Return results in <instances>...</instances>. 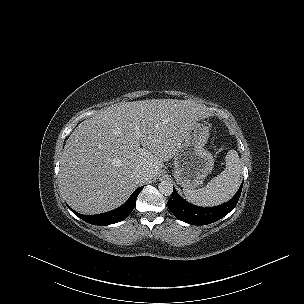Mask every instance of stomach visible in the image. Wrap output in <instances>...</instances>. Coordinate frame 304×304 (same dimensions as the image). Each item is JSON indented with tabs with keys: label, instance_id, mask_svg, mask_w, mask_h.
<instances>
[{
	"label": "stomach",
	"instance_id": "1",
	"mask_svg": "<svg viewBox=\"0 0 304 304\" xmlns=\"http://www.w3.org/2000/svg\"><path fill=\"white\" fill-rule=\"evenodd\" d=\"M210 128L195 122L187 132L185 142L174 156L173 175L183 188L199 187L214 167L212 154L205 149Z\"/></svg>",
	"mask_w": 304,
	"mask_h": 304
}]
</instances>
